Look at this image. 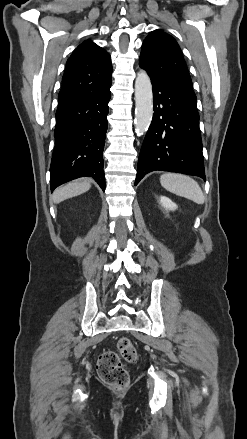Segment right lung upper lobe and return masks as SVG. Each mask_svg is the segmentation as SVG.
<instances>
[{"instance_id": "1", "label": "right lung upper lobe", "mask_w": 247, "mask_h": 439, "mask_svg": "<svg viewBox=\"0 0 247 439\" xmlns=\"http://www.w3.org/2000/svg\"><path fill=\"white\" fill-rule=\"evenodd\" d=\"M111 75L110 55L90 40L83 42L67 61L58 104L105 89Z\"/></svg>"}]
</instances>
